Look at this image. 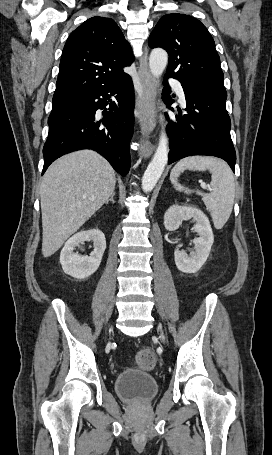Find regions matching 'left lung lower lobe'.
I'll return each mask as SVG.
<instances>
[{
	"mask_svg": "<svg viewBox=\"0 0 272 455\" xmlns=\"http://www.w3.org/2000/svg\"><path fill=\"white\" fill-rule=\"evenodd\" d=\"M165 75L163 99L172 104ZM174 78V77H173ZM177 79V78H175ZM181 82L185 98V115L167 120L170 138L169 162L192 155H209L224 159L234 171L236 153L230 136L231 121L226 110L227 92L223 84L208 83L191 78Z\"/></svg>",
	"mask_w": 272,
	"mask_h": 455,
	"instance_id": "left-lung-lower-lobe-1",
	"label": "left lung lower lobe"
}]
</instances>
